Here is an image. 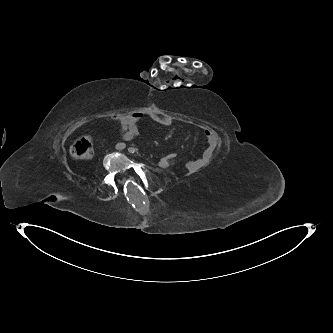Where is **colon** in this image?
<instances>
[{
	"mask_svg": "<svg viewBox=\"0 0 333 333\" xmlns=\"http://www.w3.org/2000/svg\"><path fill=\"white\" fill-rule=\"evenodd\" d=\"M71 155L74 159L77 160H86L89 159L93 154V143L91 136H83L77 139L71 146L70 149ZM179 153L176 151L174 154H166L159 161L161 164H164L165 161H171L172 158L177 156Z\"/></svg>",
	"mask_w": 333,
	"mask_h": 333,
	"instance_id": "1",
	"label": "colon"
}]
</instances>
